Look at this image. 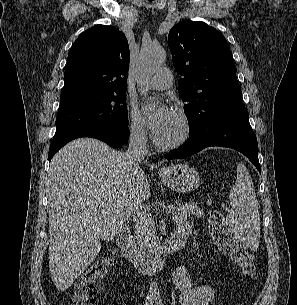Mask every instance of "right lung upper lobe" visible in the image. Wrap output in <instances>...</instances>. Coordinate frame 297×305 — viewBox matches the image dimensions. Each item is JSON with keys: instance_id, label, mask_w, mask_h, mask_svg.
<instances>
[{"instance_id": "1", "label": "right lung upper lobe", "mask_w": 297, "mask_h": 305, "mask_svg": "<svg viewBox=\"0 0 297 305\" xmlns=\"http://www.w3.org/2000/svg\"><path fill=\"white\" fill-rule=\"evenodd\" d=\"M129 57L128 41L116 28L98 25L86 30L70 49L60 100L126 90Z\"/></svg>"}]
</instances>
